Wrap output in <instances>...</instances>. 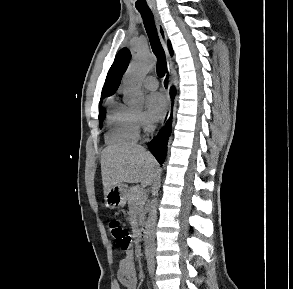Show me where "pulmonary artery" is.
<instances>
[{
	"instance_id": "obj_1",
	"label": "pulmonary artery",
	"mask_w": 293,
	"mask_h": 289,
	"mask_svg": "<svg viewBox=\"0 0 293 289\" xmlns=\"http://www.w3.org/2000/svg\"><path fill=\"white\" fill-rule=\"evenodd\" d=\"M144 86L149 90H155L158 88V80L154 76H147L144 79Z\"/></svg>"
}]
</instances>
